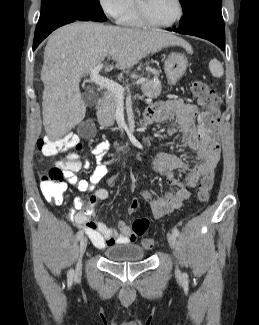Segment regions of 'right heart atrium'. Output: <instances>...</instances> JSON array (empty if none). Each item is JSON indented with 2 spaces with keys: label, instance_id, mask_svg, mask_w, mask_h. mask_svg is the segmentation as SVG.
<instances>
[{
  "label": "right heart atrium",
  "instance_id": "obj_1",
  "mask_svg": "<svg viewBox=\"0 0 259 325\" xmlns=\"http://www.w3.org/2000/svg\"><path fill=\"white\" fill-rule=\"evenodd\" d=\"M101 9L111 18L120 19L131 9L134 0H98Z\"/></svg>",
  "mask_w": 259,
  "mask_h": 325
}]
</instances>
